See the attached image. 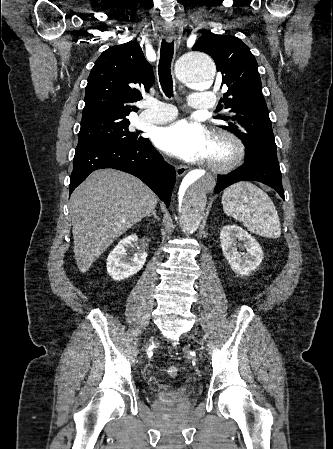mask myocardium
Masks as SVG:
<instances>
[{"mask_svg": "<svg viewBox=\"0 0 333 449\" xmlns=\"http://www.w3.org/2000/svg\"><path fill=\"white\" fill-rule=\"evenodd\" d=\"M211 143L222 152V156L218 158H207L206 165L211 170L218 173L229 172L244 160L245 146L234 134L225 131L216 132L212 136Z\"/></svg>", "mask_w": 333, "mask_h": 449, "instance_id": "myocardium-1", "label": "myocardium"}]
</instances>
